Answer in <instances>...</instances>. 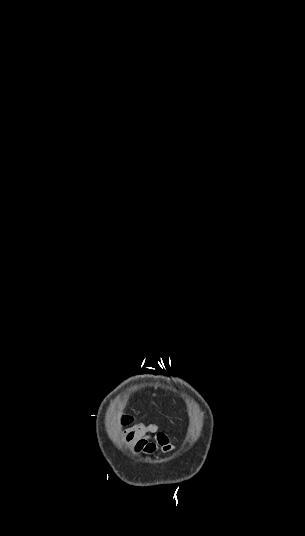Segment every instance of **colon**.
Masks as SVG:
<instances>
[{"label": "colon", "instance_id": "obj_1", "mask_svg": "<svg viewBox=\"0 0 305 536\" xmlns=\"http://www.w3.org/2000/svg\"><path fill=\"white\" fill-rule=\"evenodd\" d=\"M134 414L133 413H127L125 418H122L119 420V423L125 426H131L133 424Z\"/></svg>", "mask_w": 305, "mask_h": 536}]
</instances>
